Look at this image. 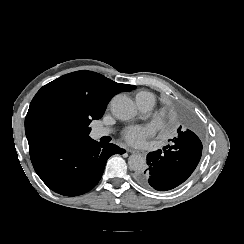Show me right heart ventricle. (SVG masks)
<instances>
[{"mask_svg":"<svg viewBox=\"0 0 244 244\" xmlns=\"http://www.w3.org/2000/svg\"><path fill=\"white\" fill-rule=\"evenodd\" d=\"M142 92H147V91H140V92H138V93H136L135 94V102H136V98H137V96L140 94V93H142ZM147 93H150V92H147ZM150 94H152V93H150ZM153 95V94H152ZM154 96V95H153ZM155 97V96H154Z\"/></svg>","mask_w":244,"mask_h":244,"instance_id":"e07e8e85","label":"right heart ventricle"}]
</instances>
